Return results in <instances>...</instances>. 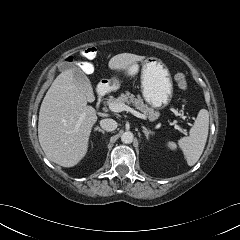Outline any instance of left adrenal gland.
Returning a JSON list of instances; mask_svg holds the SVG:
<instances>
[{
    "label": "left adrenal gland",
    "instance_id": "1",
    "mask_svg": "<svg viewBox=\"0 0 240 240\" xmlns=\"http://www.w3.org/2000/svg\"><path fill=\"white\" fill-rule=\"evenodd\" d=\"M143 133L145 134L146 138L149 139V135L152 134L153 132L143 127Z\"/></svg>",
    "mask_w": 240,
    "mask_h": 240
}]
</instances>
